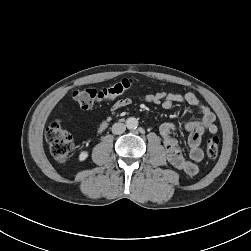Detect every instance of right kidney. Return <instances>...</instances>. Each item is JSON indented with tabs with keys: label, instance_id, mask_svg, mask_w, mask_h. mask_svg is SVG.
Returning <instances> with one entry per match:
<instances>
[{
	"label": "right kidney",
	"instance_id": "1",
	"mask_svg": "<svg viewBox=\"0 0 251 251\" xmlns=\"http://www.w3.org/2000/svg\"><path fill=\"white\" fill-rule=\"evenodd\" d=\"M88 157V152L87 151H82L79 155V161H84Z\"/></svg>",
	"mask_w": 251,
	"mask_h": 251
}]
</instances>
